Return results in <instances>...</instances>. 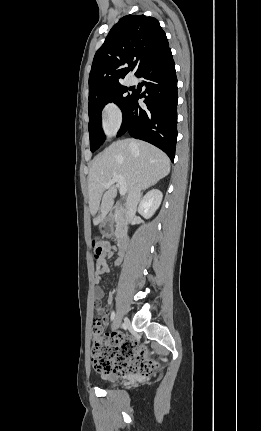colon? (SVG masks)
I'll use <instances>...</instances> for the list:
<instances>
[{
    "instance_id": "colon-1",
    "label": "colon",
    "mask_w": 261,
    "mask_h": 431,
    "mask_svg": "<svg viewBox=\"0 0 261 431\" xmlns=\"http://www.w3.org/2000/svg\"><path fill=\"white\" fill-rule=\"evenodd\" d=\"M92 245L94 257L99 262L109 251L110 245L99 237L93 238ZM91 354L94 368L104 374L149 376L158 366L157 363L137 354L131 338L121 334L104 333L100 318L94 321Z\"/></svg>"
}]
</instances>
